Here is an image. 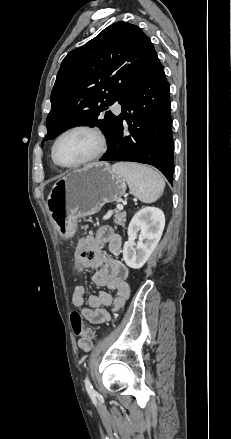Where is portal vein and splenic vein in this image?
I'll use <instances>...</instances> for the list:
<instances>
[{
    "instance_id": "portal-vein-and-splenic-vein-1",
    "label": "portal vein and splenic vein",
    "mask_w": 231,
    "mask_h": 439,
    "mask_svg": "<svg viewBox=\"0 0 231 439\" xmlns=\"http://www.w3.org/2000/svg\"><path fill=\"white\" fill-rule=\"evenodd\" d=\"M123 204H126V202H123ZM117 208H118L119 210H123V205H117Z\"/></svg>"
}]
</instances>
